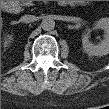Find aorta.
Returning a JSON list of instances; mask_svg holds the SVG:
<instances>
[{"label":"aorta","instance_id":"obj_1","mask_svg":"<svg viewBox=\"0 0 109 109\" xmlns=\"http://www.w3.org/2000/svg\"><path fill=\"white\" fill-rule=\"evenodd\" d=\"M41 27L44 31H51L55 28V21L47 16L42 20Z\"/></svg>","mask_w":109,"mask_h":109}]
</instances>
